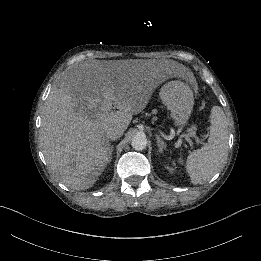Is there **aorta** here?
<instances>
[{
    "mask_svg": "<svg viewBox=\"0 0 261 261\" xmlns=\"http://www.w3.org/2000/svg\"><path fill=\"white\" fill-rule=\"evenodd\" d=\"M131 146L133 149L140 151L144 150L147 146V139L145 135H136L132 138Z\"/></svg>",
    "mask_w": 261,
    "mask_h": 261,
    "instance_id": "aorta-1",
    "label": "aorta"
}]
</instances>
